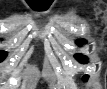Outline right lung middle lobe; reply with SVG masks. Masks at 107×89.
Here are the masks:
<instances>
[{
	"instance_id": "1",
	"label": "right lung middle lobe",
	"mask_w": 107,
	"mask_h": 89,
	"mask_svg": "<svg viewBox=\"0 0 107 89\" xmlns=\"http://www.w3.org/2000/svg\"><path fill=\"white\" fill-rule=\"evenodd\" d=\"M6 55H7V52H5V51H1L0 52V59H1V61L6 57Z\"/></svg>"
}]
</instances>
